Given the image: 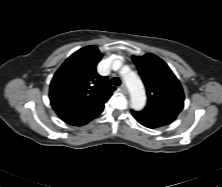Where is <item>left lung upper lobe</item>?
Instances as JSON below:
<instances>
[{
	"mask_svg": "<svg viewBox=\"0 0 222 187\" xmlns=\"http://www.w3.org/2000/svg\"><path fill=\"white\" fill-rule=\"evenodd\" d=\"M133 61L147 89L145 109L179 113L183 108L184 93L168 65L154 54L133 57Z\"/></svg>",
	"mask_w": 222,
	"mask_h": 187,
	"instance_id": "5c2ea615",
	"label": "left lung upper lobe"
}]
</instances>
